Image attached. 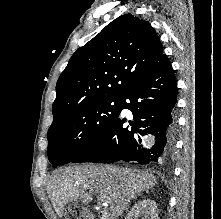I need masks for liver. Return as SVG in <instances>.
Returning <instances> with one entry per match:
<instances>
[{
  "instance_id": "6515ba94",
  "label": "liver",
  "mask_w": 221,
  "mask_h": 219,
  "mask_svg": "<svg viewBox=\"0 0 221 219\" xmlns=\"http://www.w3.org/2000/svg\"><path fill=\"white\" fill-rule=\"evenodd\" d=\"M157 184L152 174L112 165L85 164L58 169L47 185V193L59 217L68 202L87 204L97 194L109 205L112 216H121L131 200Z\"/></svg>"
}]
</instances>
